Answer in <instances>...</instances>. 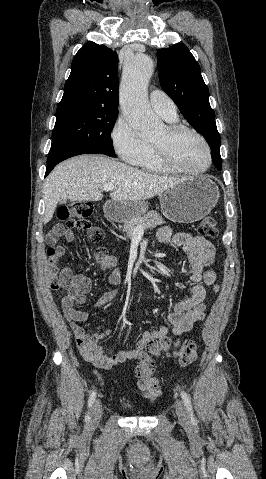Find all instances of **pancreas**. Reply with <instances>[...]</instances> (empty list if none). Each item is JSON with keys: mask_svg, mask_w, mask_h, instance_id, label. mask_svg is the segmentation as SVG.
I'll use <instances>...</instances> for the list:
<instances>
[{"mask_svg": "<svg viewBox=\"0 0 266 479\" xmlns=\"http://www.w3.org/2000/svg\"><path fill=\"white\" fill-rule=\"evenodd\" d=\"M165 221L162 216L156 211H149L142 216L133 217L124 222L123 232L127 237L131 238L136 230V227L141 225L143 229H152L158 225H163Z\"/></svg>", "mask_w": 266, "mask_h": 479, "instance_id": "pancreas-1", "label": "pancreas"}]
</instances>
